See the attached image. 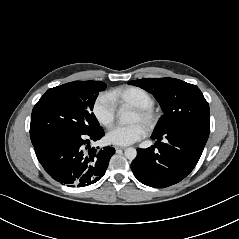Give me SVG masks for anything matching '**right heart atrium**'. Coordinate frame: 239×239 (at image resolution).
<instances>
[{"mask_svg":"<svg viewBox=\"0 0 239 239\" xmlns=\"http://www.w3.org/2000/svg\"><path fill=\"white\" fill-rule=\"evenodd\" d=\"M92 113L103 126H110L116 116V105L107 94H99L92 106Z\"/></svg>","mask_w":239,"mask_h":239,"instance_id":"obj_1","label":"right heart atrium"}]
</instances>
